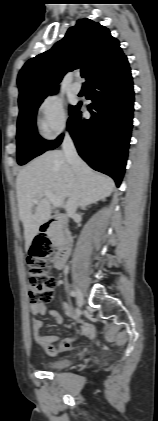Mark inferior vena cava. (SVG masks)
<instances>
[{
    "label": "inferior vena cava",
    "mask_w": 158,
    "mask_h": 421,
    "mask_svg": "<svg viewBox=\"0 0 158 421\" xmlns=\"http://www.w3.org/2000/svg\"><path fill=\"white\" fill-rule=\"evenodd\" d=\"M62 149L74 173L78 174L80 170V166H81V159L78 156L73 140L70 137L69 133H66L64 136ZM78 205H79V194L78 192H75V194H73L72 196L68 198L66 202V206H65L67 215L69 217H73L75 215Z\"/></svg>",
    "instance_id": "1"
}]
</instances>
